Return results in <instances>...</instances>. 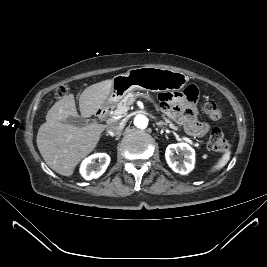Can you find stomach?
Instances as JSON below:
<instances>
[{"label": "stomach", "instance_id": "stomach-1", "mask_svg": "<svg viewBox=\"0 0 267 267\" xmlns=\"http://www.w3.org/2000/svg\"><path fill=\"white\" fill-rule=\"evenodd\" d=\"M189 78L184 73L157 67L132 68L113 78L111 92L104 105L115 104L134 90L162 92L181 90Z\"/></svg>", "mask_w": 267, "mask_h": 267}]
</instances>
